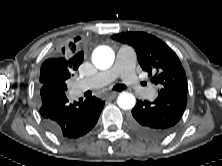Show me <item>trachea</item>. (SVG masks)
Wrapping results in <instances>:
<instances>
[{"label":"trachea","instance_id":"trachea-1","mask_svg":"<svg viewBox=\"0 0 222 166\" xmlns=\"http://www.w3.org/2000/svg\"><path fill=\"white\" fill-rule=\"evenodd\" d=\"M127 87L125 85H122V84H117L113 87V90L115 91H122V90H125Z\"/></svg>","mask_w":222,"mask_h":166}]
</instances>
